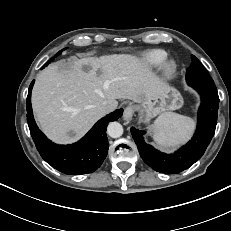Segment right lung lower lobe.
Listing matches in <instances>:
<instances>
[{
	"mask_svg": "<svg viewBox=\"0 0 231 231\" xmlns=\"http://www.w3.org/2000/svg\"><path fill=\"white\" fill-rule=\"evenodd\" d=\"M32 81L27 96V121L31 136L41 157L53 168L68 175L92 173L101 166L108 153L106 127L122 116L118 109L99 120L77 143L57 145L38 129L31 107Z\"/></svg>",
	"mask_w": 231,
	"mask_h": 231,
	"instance_id": "obj_1",
	"label": "right lung lower lobe"
}]
</instances>
